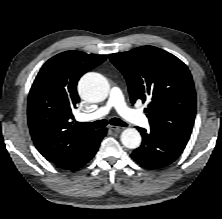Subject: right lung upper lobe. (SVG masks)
<instances>
[{
	"label": "right lung upper lobe",
	"mask_w": 222,
	"mask_h": 219,
	"mask_svg": "<svg viewBox=\"0 0 222 219\" xmlns=\"http://www.w3.org/2000/svg\"><path fill=\"white\" fill-rule=\"evenodd\" d=\"M106 59L105 55L66 51L49 59L39 71L28 97V124L38 151L60 168L79 155L95 130L71 126L72 110L80 101V77Z\"/></svg>",
	"instance_id": "obj_1"
}]
</instances>
